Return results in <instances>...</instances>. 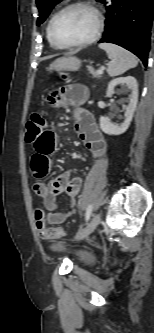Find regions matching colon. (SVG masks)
Instances as JSON below:
<instances>
[{
    "label": "colon",
    "mask_w": 154,
    "mask_h": 333,
    "mask_svg": "<svg viewBox=\"0 0 154 333\" xmlns=\"http://www.w3.org/2000/svg\"><path fill=\"white\" fill-rule=\"evenodd\" d=\"M46 124V112L39 110L31 114L25 129V140L28 144L35 142L37 136L44 129ZM36 226L39 234L44 239H58L63 235V229L61 227H46L45 214L37 208L35 210Z\"/></svg>",
    "instance_id": "colon-1"
}]
</instances>
